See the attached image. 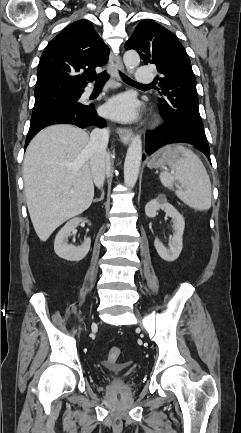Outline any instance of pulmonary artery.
Returning <instances> with one entry per match:
<instances>
[{
  "label": "pulmonary artery",
  "mask_w": 241,
  "mask_h": 433,
  "mask_svg": "<svg viewBox=\"0 0 241 433\" xmlns=\"http://www.w3.org/2000/svg\"><path fill=\"white\" fill-rule=\"evenodd\" d=\"M136 75V81L140 84H150L153 82L154 76L151 72V70L148 67L145 66H139L135 70ZM91 93V90L88 89L85 91V95H89Z\"/></svg>",
  "instance_id": "obj_1"
}]
</instances>
